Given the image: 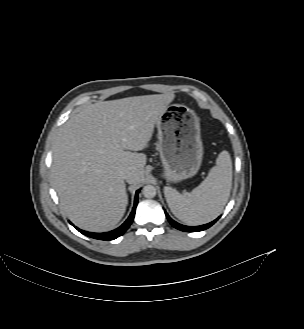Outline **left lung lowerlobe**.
I'll return each instance as SVG.
<instances>
[{
    "label": "left lung lower lobe",
    "mask_w": 304,
    "mask_h": 329,
    "mask_svg": "<svg viewBox=\"0 0 304 329\" xmlns=\"http://www.w3.org/2000/svg\"><path fill=\"white\" fill-rule=\"evenodd\" d=\"M165 214H166V217H167L168 221L170 222V224L173 227H175L178 230L185 231V232H194V231H202V230H205V229L209 228L210 226H212L219 219V218H217L214 221H212V222H210L208 224H205V225L190 227V226L181 225V224L175 222L174 220H172L169 217V215L166 213V211H165Z\"/></svg>",
    "instance_id": "1"
}]
</instances>
